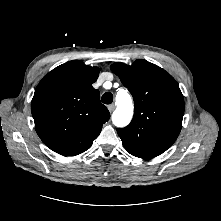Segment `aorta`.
<instances>
[{
  "label": "aorta",
  "mask_w": 221,
  "mask_h": 221,
  "mask_svg": "<svg viewBox=\"0 0 221 221\" xmlns=\"http://www.w3.org/2000/svg\"><path fill=\"white\" fill-rule=\"evenodd\" d=\"M116 106L117 108L112 115V122L117 127H125L133 117V104L130 95L127 92L118 93Z\"/></svg>",
  "instance_id": "aorta-1"
}]
</instances>
